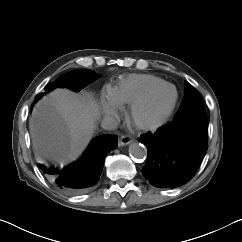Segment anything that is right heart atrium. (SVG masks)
<instances>
[{"label": "right heart atrium", "instance_id": "obj_1", "mask_svg": "<svg viewBox=\"0 0 242 242\" xmlns=\"http://www.w3.org/2000/svg\"><path fill=\"white\" fill-rule=\"evenodd\" d=\"M102 107L106 115L114 116L122 110V105L116 100L112 93L102 96Z\"/></svg>", "mask_w": 242, "mask_h": 242}]
</instances>
